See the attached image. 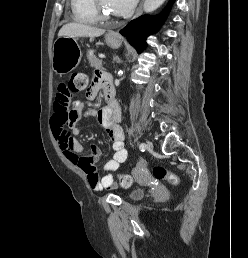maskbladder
I'll return each mask as SVG.
<instances>
[{
    "label": "bladder",
    "mask_w": 248,
    "mask_h": 258,
    "mask_svg": "<svg viewBox=\"0 0 248 258\" xmlns=\"http://www.w3.org/2000/svg\"><path fill=\"white\" fill-rule=\"evenodd\" d=\"M145 194L146 193L143 189L135 188L129 193L128 197L133 201H137L143 199L145 197Z\"/></svg>",
    "instance_id": "bladder-1"
}]
</instances>
